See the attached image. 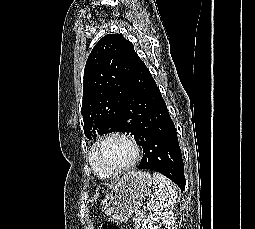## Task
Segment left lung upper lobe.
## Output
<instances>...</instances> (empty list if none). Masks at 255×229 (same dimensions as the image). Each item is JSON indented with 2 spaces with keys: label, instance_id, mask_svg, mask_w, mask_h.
Instances as JSON below:
<instances>
[{
  "label": "left lung upper lobe",
  "instance_id": "5c2ea615",
  "mask_svg": "<svg viewBox=\"0 0 255 229\" xmlns=\"http://www.w3.org/2000/svg\"><path fill=\"white\" fill-rule=\"evenodd\" d=\"M139 62L133 44L120 34L105 35L92 49L84 69L81 109L88 139L127 132L119 116Z\"/></svg>",
  "mask_w": 255,
  "mask_h": 229
}]
</instances>
